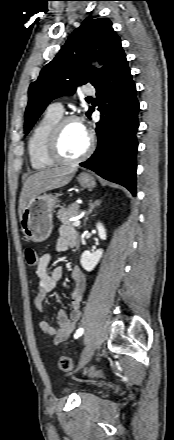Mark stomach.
Returning <instances> with one entry per match:
<instances>
[{
	"instance_id": "1",
	"label": "stomach",
	"mask_w": 174,
	"mask_h": 440,
	"mask_svg": "<svg viewBox=\"0 0 174 440\" xmlns=\"http://www.w3.org/2000/svg\"><path fill=\"white\" fill-rule=\"evenodd\" d=\"M81 186L93 188L96 186L94 177L82 173L77 178ZM59 202L57 195L40 194L30 201L21 215L22 232L33 242L46 240L53 229L52 213Z\"/></svg>"
}]
</instances>
